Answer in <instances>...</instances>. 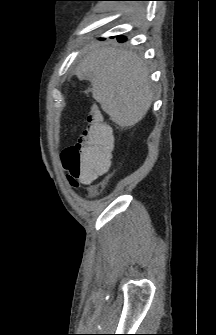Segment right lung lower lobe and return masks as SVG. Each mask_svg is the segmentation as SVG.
<instances>
[{
    "label": "right lung lower lobe",
    "mask_w": 216,
    "mask_h": 335,
    "mask_svg": "<svg viewBox=\"0 0 216 335\" xmlns=\"http://www.w3.org/2000/svg\"><path fill=\"white\" fill-rule=\"evenodd\" d=\"M117 40H118L119 42H123V41L126 40V37H124V36H117Z\"/></svg>",
    "instance_id": "right-lung-lower-lobe-1"
}]
</instances>
